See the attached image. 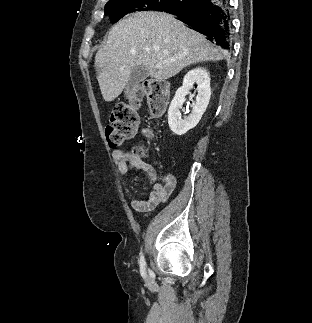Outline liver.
<instances>
[{
    "label": "liver",
    "instance_id": "liver-1",
    "mask_svg": "<svg viewBox=\"0 0 312 323\" xmlns=\"http://www.w3.org/2000/svg\"><path fill=\"white\" fill-rule=\"evenodd\" d=\"M210 60H224L221 50L214 48L203 34L186 28L176 16L135 12L110 30L104 48L95 56V66L101 94L105 102H113L136 66H145L151 78L168 80L186 66ZM157 64L164 66L156 68Z\"/></svg>",
    "mask_w": 312,
    "mask_h": 323
}]
</instances>
